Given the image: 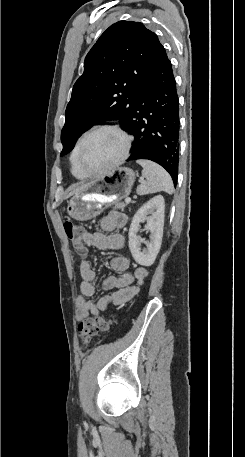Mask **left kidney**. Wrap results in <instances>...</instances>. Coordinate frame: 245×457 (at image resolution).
<instances>
[{
    "mask_svg": "<svg viewBox=\"0 0 245 457\" xmlns=\"http://www.w3.org/2000/svg\"><path fill=\"white\" fill-rule=\"evenodd\" d=\"M165 202L162 194L150 198L135 212L129 229V249L133 259L142 267L153 265L161 247L164 226ZM150 214V216H147ZM147 220V231H151L150 241L138 237L140 222ZM141 243H145L147 249H140Z\"/></svg>",
    "mask_w": 245,
    "mask_h": 457,
    "instance_id": "5707ae66",
    "label": "left kidney"
}]
</instances>
